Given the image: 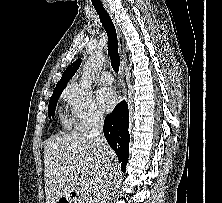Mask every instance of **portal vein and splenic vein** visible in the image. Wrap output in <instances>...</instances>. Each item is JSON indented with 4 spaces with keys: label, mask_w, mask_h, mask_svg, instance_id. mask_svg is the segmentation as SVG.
I'll return each mask as SVG.
<instances>
[{
    "label": "portal vein and splenic vein",
    "mask_w": 222,
    "mask_h": 203,
    "mask_svg": "<svg viewBox=\"0 0 222 203\" xmlns=\"http://www.w3.org/2000/svg\"><path fill=\"white\" fill-rule=\"evenodd\" d=\"M77 169L80 171L81 170V166H78ZM81 185L83 186V188L85 190H90L91 189V184L88 181H82Z\"/></svg>",
    "instance_id": "18ae733b"
}]
</instances>
